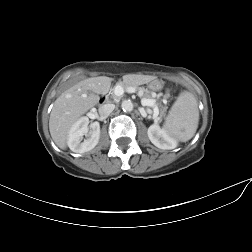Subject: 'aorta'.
<instances>
[{
  "label": "aorta",
  "mask_w": 252,
  "mask_h": 252,
  "mask_svg": "<svg viewBox=\"0 0 252 252\" xmlns=\"http://www.w3.org/2000/svg\"><path fill=\"white\" fill-rule=\"evenodd\" d=\"M121 107L124 112H131L134 108L133 103L130 100H124Z\"/></svg>",
  "instance_id": "1"
}]
</instances>
